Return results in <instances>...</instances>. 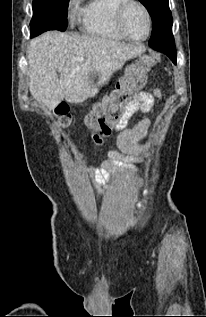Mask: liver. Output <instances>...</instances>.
Wrapping results in <instances>:
<instances>
[{
  "label": "liver",
  "instance_id": "1",
  "mask_svg": "<svg viewBox=\"0 0 206 317\" xmlns=\"http://www.w3.org/2000/svg\"><path fill=\"white\" fill-rule=\"evenodd\" d=\"M144 52L143 46L95 35L43 33L28 47L30 93L49 110L64 99L81 103L94 97L97 87L106 84L126 61ZM94 77H98L96 84L91 81Z\"/></svg>",
  "mask_w": 206,
  "mask_h": 317
}]
</instances>
